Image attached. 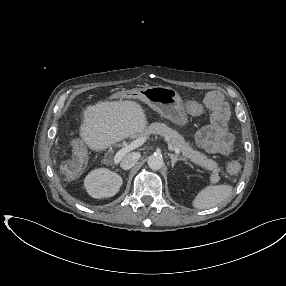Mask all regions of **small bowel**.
I'll return each instance as SVG.
<instances>
[{
	"label": "small bowel",
	"instance_id": "small-bowel-1",
	"mask_svg": "<svg viewBox=\"0 0 286 286\" xmlns=\"http://www.w3.org/2000/svg\"><path fill=\"white\" fill-rule=\"evenodd\" d=\"M212 120L209 125L203 126L194 134L196 143L210 154L227 156L232 152L233 135L228 131V108L219 93L208 96ZM186 111L193 116L203 113V106L196 101L185 104Z\"/></svg>",
	"mask_w": 286,
	"mask_h": 286
}]
</instances>
